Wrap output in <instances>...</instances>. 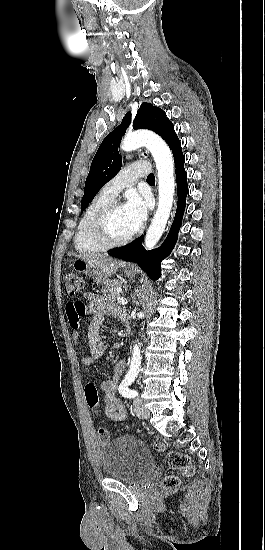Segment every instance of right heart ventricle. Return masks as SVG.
<instances>
[{
    "label": "right heart ventricle",
    "instance_id": "right-heart-ventricle-1",
    "mask_svg": "<svg viewBox=\"0 0 265 550\" xmlns=\"http://www.w3.org/2000/svg\"><path fill=\"white\" fill-rule=\"evenodd\" d=\"M113 201V198L106 195L102 190L89 202L84 210L74 236V245L81 253L98 252L104 249L90 235L89 225L93 216L103 206Z\"/></svg>",
    "mask_w": 265,
    "mask_h": 550
}]
</instances>
